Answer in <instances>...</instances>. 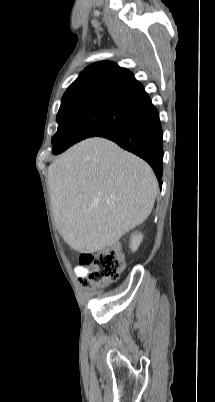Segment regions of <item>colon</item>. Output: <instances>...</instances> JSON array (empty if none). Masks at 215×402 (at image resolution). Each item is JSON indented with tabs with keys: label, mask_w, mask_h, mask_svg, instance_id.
Masks as SVG:
<instances>
[{
	"label": "colon",
	"mask_w": 215,
	"mask_h": 402,
	"mask_svg": "<svg viewBox=\"0 0 215 402\" xmlns=\"http://www.w3.org/2000/svg\"><path fill=\"white\" fill-rule=\"evenodd\" d=\"M80 263L89 268L83 283L91 287H100L116 281L124 266L121 254L115 249L84 254L80 258Z\"/></svg>",
	"instance_id": "5ec220e1"
}]
</instances>
